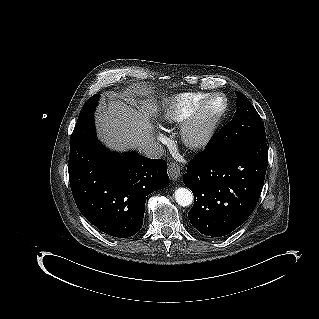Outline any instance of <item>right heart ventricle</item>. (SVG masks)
I'll list each match as a JSON object with an SVG mask.
<instances>
[{
	"label": "right heart ventricle",
	"instance_id": "e07e8e85",
	"mask_svg": "<svg viewBox=\"0 0 319 319\" xmlns=\"http://www.w3.org/2000/svg\"><path fill=\"white\" fill-rule=\"evenodd\" d=\"M203 92H183L168 98L163 106L164 118L168 123H183L207 96Z\"/></svg>",
	"mask_w": 319,
	"mask_h": 319
}]
</instances>
